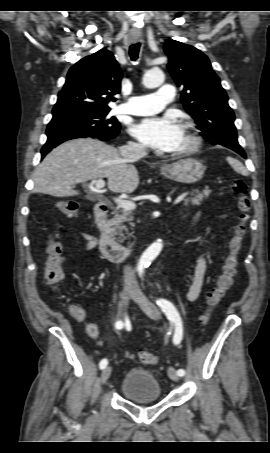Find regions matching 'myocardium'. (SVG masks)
<instances>
[{
    "label": "myocardium",
    "instance_id": "1",
    "mask_svg": "<svg viewBox=\"0 0 270 453\" xmlns=\"http://www.w3.org/2000/svg\"><path fill=\"white\" fill-rule=\"evenodd\" d=\"M181 127L187 132L189 144L181 150L172 152L171 156L173 157L189 156L197 152L201 146V138L199 137L194 125L191 122L184 121L181 123Z\"/></svg>",
    "mask_w": 270,
    "mask_h": 453
}]
</instances>
